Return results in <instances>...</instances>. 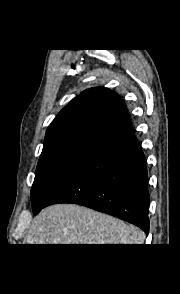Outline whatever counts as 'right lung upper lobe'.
Segmentation results:
<instances>
[{"label": "right lung upper lobe", "instance_id": "cb5924a9", "mask_svg": "<svg viewBox=\"0 0 180 294\" xmlns=\"http://www.w3.org/2000/svg\"><path fill=\"white\" fill-rule=\"evenodd\" d=\"M129 119L122 98L108 88L83 91L49 125L43 149L73 140L101 142Z\"/></svg>", "mask_w": 180, "mask_h": 294}]
</instances>
